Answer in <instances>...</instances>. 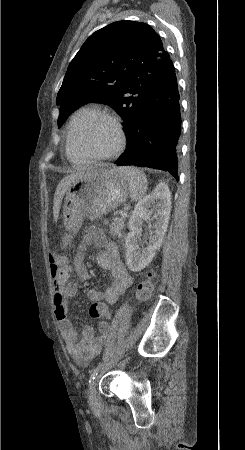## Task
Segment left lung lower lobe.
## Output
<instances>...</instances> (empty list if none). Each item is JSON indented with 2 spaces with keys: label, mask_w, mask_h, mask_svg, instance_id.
Instances as JSON below:
<instances>
[{
  "label": "left lung lower lobe",
  "mask_w": 245,
  "mask_h": 450,
  "mask_svg": "<svg viewBox=\"0 0 245 450\" xmlns=\"http://www.w3.org/2000/svg\"><path fill=\"white\" fill-rule=\"evenodd\" d=\"M179 99L176 74L170 59L135 119L127 138L126 151L114 163L168 171L178 180Z\"/></svg>",
  "instance_id": "1"
}]
</instances>
